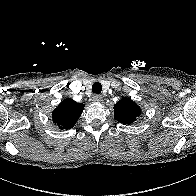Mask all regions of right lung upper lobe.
I'll return each instance as SVG.
<instances>
[{"label":"right lung upper lobe","mask_w":196,"mask_h":196,"mask_svg":"<svg viewBox=\"0 0 196 196\" xmlns=\"http://www.w3.org/2000/svg\"><path fill=\"white\" fill-rule=\"evenodd\" d=\"M84 109V104L77 103L71 98L63 100L52 113L53 122L60 129L72 128Z\"/></svg>","instance_id":"1"}]
</instances>
